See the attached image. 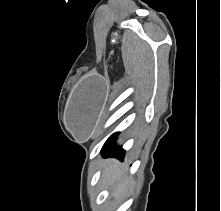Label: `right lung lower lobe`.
I'll list each match as a JSON object with an SVG mask.
<instances>
[{"label":"right lung lower lobe","instance_id":"obj_1","mask_svg":"<svg viewBox=\"0 0 221 211\" xmlns=\"http://www.w3.org/2000/svg\"><path fill=\"white\" fill-rule=\"evenodd\" d=\"M118 133L113 134L104 144L102 148V153L105 156L117 157L123 159L125 151L121 147L115 146V140Z\"/></svg>","mask_w":221,"mask_h":211}]
</instances>
